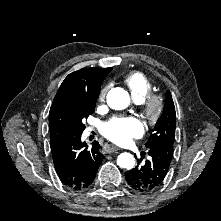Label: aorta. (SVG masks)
I'll return each mask as SVG.
<instances>
[{"instance_id": "aorta-1", "label": "aorta", "mask_w": 221, "mask_h": 221, "mask_svg": "<svg viewBox=\"0 0 221 221\" xmlns=\"http://www.w3.org/2000/svg\"><path fill=\"white\" fill-rule=\"evenodd\" d=\"M129 103V94L122 88H113L107 94V104L112 109H125L126 107H128ZM117 165L128 170L132 169L135 165V158L130 153H121L117 158Z\"/></svg>"}]
</instances>
